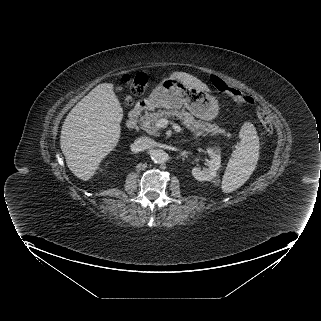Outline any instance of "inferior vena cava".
<instances>
[{
	"label": "inferior vena cava",
	"instance_id": "obj_1",
	"mask_svg": "<svg viewBox=\"0 0 321 321\" xmlns=\"http://www.w3.org/2000/svg\"><path fill=\"white\" fill-rule=\"evenodd\" d=\"M138 151H144L154 147L155 141L149 137H139L134 142Z\"/></svg>",
	"mask_w": 321,
	"mask_h": 321
}]
</instances>
